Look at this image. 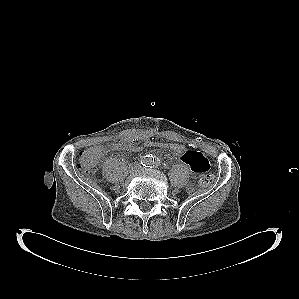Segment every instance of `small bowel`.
Masks as SVG:
<instances>
[{
    "label": "small bowel",
    "instance_id": "c3829d8e",
    "mask_svg": "<svg viewBox=\"0 0 299 299\" xmlns=\"http://www.w3.org/2000/svg\"><path fill=\"white\" fill-rule=\"evenodd\" d=\"M123 141L131 146L134 144L135 138L128 136L123 138ZM127 151H130V149ZM179 158L190 167L194 174H203L209 169V162L206 157L196 150H190L184 147V152Z\"/></svg>",
    "mask_w": 299,
    "mask_h": 299
}]
</instances>
